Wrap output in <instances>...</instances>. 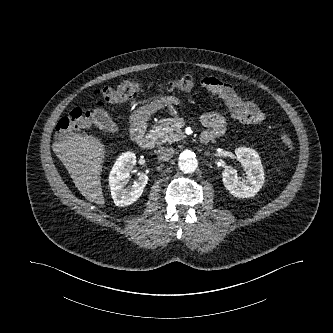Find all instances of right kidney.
<instances>
[{"label":"right kidney","instance_id":"1","mask_svg":"<svg viewBox=\"0 0 333 333\" xmlns=\"http://www.w3.org/2000/svg\"><path fill=\"white\" fill-rule=\"evenodd\" d=\"M136 164V156L133 152L123 153L115 161L110 174L109 186L115 205L124 207L138 200L147 184L148 176L140 174L132 186L126 187L130 170Z\"/></svg>","mask_w":333,"mask_h":333}]
</instances>
